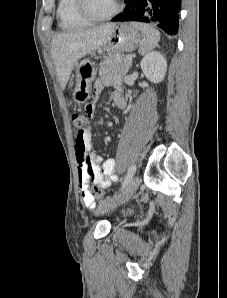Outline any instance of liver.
<instances>
[{
	"instance_id": "obj_1",
	"label": "liver",
	"mask_w": 227,
	"mask_h": 298,
	"mask_svg": "<svg viewBox=\"0 0 227 298\" xmlns=\"http://www.w3.org/2000/svg\"><path fill=\"white\" fill-rule=\"evenodd\" d=\"M114 28V23H108L92 29L61 33L53 37L51 55L62 90L66 88L71 72L78 61L106 44Z\"/></svg>"
}]
</instances>
